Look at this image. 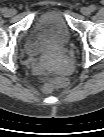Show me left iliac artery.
Listing matches in <instances>:
<instances>
[{
    "label": "left iliac artery",
    "mask_w": 104,
    "mask_h": 137,
    "mask_svg": "<svg viewBox=\"0 0 104 137\" xmlns=\"http://www.w3.org/2000/svg\"><path fill=\"white\" fill-rule=\"evenodd\" d=\"M90 9H91V11L93 12V11H95L96 7H95L94 5H91V6H90Z\"/></svg>",
    "instance_id": "left-iliac-artery-1"
}]
</instances>
